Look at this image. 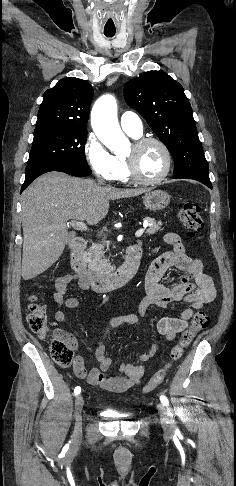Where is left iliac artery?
I'll use <instances>...</instances> for the list:
<instances>
[{"label":"left iliac artery","instance_id":"left-iliac-artery-1","mask_svg":"<svg viewBox=\"0 0 236 486\" xmlns=\"http://www.w3.org/2000/svg\"><path fill=\"white\" fill-rule=\"evenodd\" d=\"M160 400H161V403H162L164 406H168V405H169V401H168V399H167V397H166V396L161 395V396H160Z\"/></svg>","mask_w":236,"mask_h":486}]
</instances>
